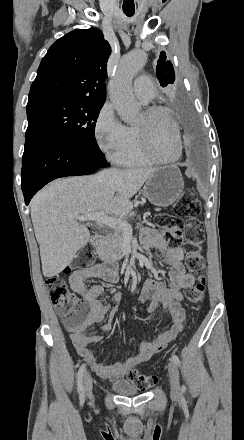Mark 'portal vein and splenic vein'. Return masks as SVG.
<instances>
[{
  "instance_id": "obj_1",
  "label": "portal vein and splenic vein",
  "mask_w": 244,
  "mask_h": 440,
  "mask_svg": "<svg viewBox=\"0 0 244 440\" xmlns=\"http://www.w3.org/2000/svg\"><path fill=\"white\" fill-rule=\"evenodd\" d=\"M76 220H79V222H96V224H104V226L115 228V230L132 232L130 224H127L123 218H111V216H106L104 212H96V214H84V216H77Z\"/></svg>"
}]
</instances>
